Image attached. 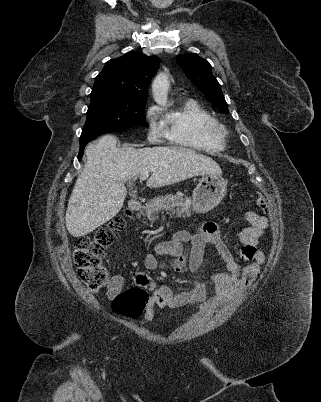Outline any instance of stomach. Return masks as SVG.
I'll return each mask as SVG.
<instances>
[{"label": "stomach", "instance_id": "1", "mask_svg": "<svg viewBox=\"0 0 321 402\" xmlns=\"http://www.w3.org/2000/svg\"><path fill=\"white\" fill-rule=\"evenodd\" d=\"M227 192V181L218 173L203 174L193 191L192 207L197 213L215 208Z\"/></svg>", "mask_w": 321, "mask_h": 402}]
</instances>
